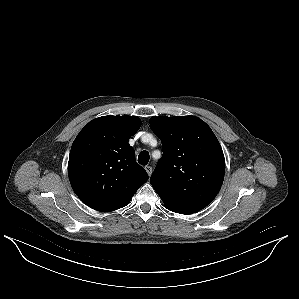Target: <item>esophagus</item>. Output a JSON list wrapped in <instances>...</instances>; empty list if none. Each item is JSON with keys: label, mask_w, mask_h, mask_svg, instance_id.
<instances>
[{"label": "esophagus", "mask_w": 299, "mask_h": 299, "mask_svg": "<svg viewBox=\"0 0 299 299\" xmlns=\"http://www.w3.org/2000/svg\"><path fill=\"white\" fill-rule=\"evenodd\" d=\"M145 170H146V172H147V174L149 175V177L151 176V174H152V167L151 166H149V165H147V166H145Z\"/></svg>", "instance_id": "obj_1"}]
</instances>
